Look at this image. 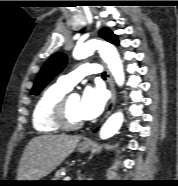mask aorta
Returning a JSON list of instances; mask_svg holds the SVG:
<instances>
[{"label":"aorta","instance_id":"aorta-1","mask_svg":"<svg viewBox=\"0 0 178 186\" xmlns=\"http://www.w3.org/2000/svg\"><path fill=\"white\" fill-rule=\"evenodd\" d=\"M95 50L99 51L100 56L107 63L116 83L122 86L125 79L123 65L118 51L112 44L102 40H89L75 47L73 57L77 60L84 59L92 55ZM122 123V112L111 115L100 130V138L104 140L112 137L120 129Z\"/></svg>","mask_w":178,"mask_h":186}]
</instances>
